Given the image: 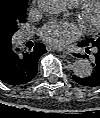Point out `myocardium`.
I'll return each mask as SVG.
<instances>
[{
  "label": "myocardium",
  "instance_id": "f54148a6",
  "mask_svg": "<svg viewBox=\"0 0 100 118\" xmlns=\"http://www.w3.org/2000/svg\"><path fill=\"white\" fill-rule=\"evenodd\" d=\"M78 16L87 28H95L100 20V5L98 0H82L78 5Z\"/></svg>",
  "mask_w": 100,
  "mask_h": 118
}]
</instances>
